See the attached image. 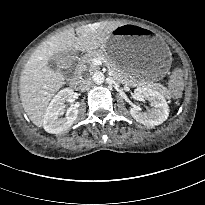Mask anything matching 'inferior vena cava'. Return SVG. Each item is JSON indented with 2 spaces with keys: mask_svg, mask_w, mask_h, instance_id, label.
Listing matches in <instances>:
<instances>
[{
  "mask_svg": "<svg viewBox=\"0 0 205 205\" xmlns=\"http://www.w3.org/2000/svg\"><path fill=\"white\" fill-rule=\"evenodd\" d=\"M92 85V79L87 78L82 82V90H87Z\"/></svg>",
  "mask_w": 205,
  "mask_h": 205,
  "instance_id": "1",
  "label": "inferior vena cava"
}]
</instances>
